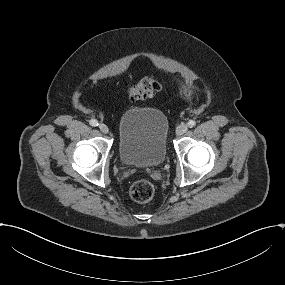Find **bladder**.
Returning a JSON list of instances; mask_svg holds the SVG:
<instances>
[{
	"mask_svg": "<svg viewBox=\"0 0 285 285\" xmlns=\"http://www.w3.org/2000/svg\"><path fill=\"white\" fill-rule=\"evenodd\" d=\"M168 120L155 108H131L118 121V157L133 167H156L167 154Z\"/></svg>",
	"mask_w": 285,
	"mask_h": 285,
	"instance_id": "1",
	"label": "bladder"
}]
</instances>
